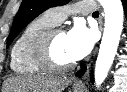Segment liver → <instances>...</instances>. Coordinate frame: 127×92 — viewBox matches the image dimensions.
I'll return each mask as SVG.
<instances>
[{
	"label": "liver",
	"instance_id": "6515ba94",
	"mask_svg": "<svg viewBox=\"0 0 127 92\" xmlns=\"http://www.w3.org/2000/svg\"><path fill=\"white\" fill-rule=\"evenodd\" d=\"M71 80L53 75L16 76L4 81L2 92H62Z\"/></svg>",
	"mask_w": 127,
	"mask_h": 92
}]
</instances>
